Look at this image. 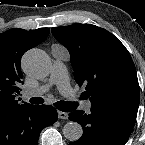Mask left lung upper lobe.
I'll return each mask as SVG.
<instances>
[{"instance_id":"obj_1","label":"left lung upper lobe","mask_w":145,"mask_h":145,"mask_svg":"<svg viewBox=\"0 0 145 145\" xmlns=\"http://www.w3.org/2000/svg\"><path fill=\"white\" fill-rule=\"evenodd\" d=\"M71 57L75 81L86 86L92 106H139V83L125 46L110 32L91 24L52 28Z\"/></svg>"}]
</instances>
